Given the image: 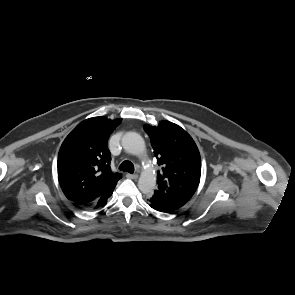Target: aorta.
Masks as SVG:
<instances>
[{"label": "aorta", "instance_id": "1", "mask_svg": "<svg viewBox=\"0 0 295 295\" xmlns=\"http://www.w3.org/2000/svg\"><path fill=\"white\" fill-rule=\"evenodd\" d=\"M122 146L130 154L141 156L144 154L146 146L142 136L136 132H127L122 137ZM156 186V177L150 170H143L138 180L139 190L151 195Z\"/></svg>", "mask_w": 295, "mask_h": 295}]
</instances>
